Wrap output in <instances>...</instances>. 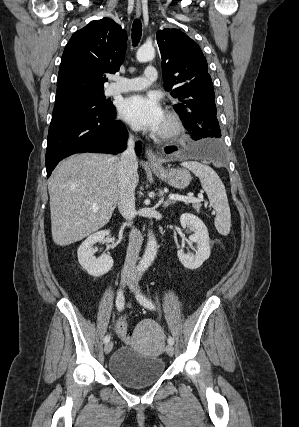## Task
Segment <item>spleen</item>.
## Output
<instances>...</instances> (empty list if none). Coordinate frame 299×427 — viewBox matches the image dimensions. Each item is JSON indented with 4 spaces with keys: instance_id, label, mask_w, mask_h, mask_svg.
Listing matches in <instances>:
<instances>
[{
    "instance_id": "3e777b00",
    "label": "spleen",
    "mask_w": 299,
    "mask_h": 427,
    "mask_svg": "<svg viewBox=\"0 0 299 427\" xmlns=\"http://www.w3.org/2000/svg\"><path fill=\"white\" fill-rule=\"evenodd\" d=\"M181 166L189 169L200 180L203 190L206 192L210 205L216 212L215 227L221 235H228L231 227V214L225 186L218 174L208 165L188 161Z\"/></svg>"
}]
</instances>
